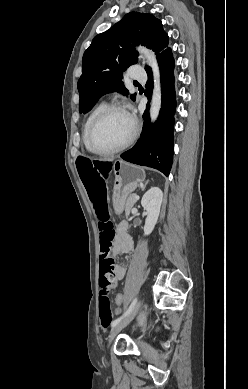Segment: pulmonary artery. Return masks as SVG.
<instances>
[{
	"mask_svg": "<svg viewBox=\"0 0 248 389\" xmlns=\"http://www.w3.org/2000/svg\"><path fill=\"white\" fill-rule=\"evenodd\" d=\"M130 78L136 80V81H143L144 75L140 71H138L135 67L131 68L129 71Z\"/></svg>",
	"mask_w": 248,
	"mask_h": 389,
	"instance_id": "1",
	"label": "pulmonary artery"
}]
</instances>
